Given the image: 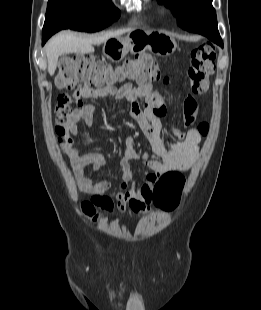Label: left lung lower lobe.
Masks as SVG:
<instances>
[{"mask_svg":"<svg viewBox=\"0 0 261 310\" xmlns=\"http://www.w3.org/2000/svg\"><path fill=\"white\" fill-rule=\"evenodd\" d=\"M189 32H194L206 36L214 43L223 46L222 39L217 29V23L204 20L200 23H197L195 26L190 27Z\"/></svg>","mask_w":261,"mask_h":310,"instance_id":"0a47b994","label":"left lung lower lobe"}]
</instances>
